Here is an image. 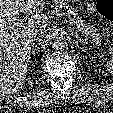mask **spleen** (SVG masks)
I'll return each mask as SVG.
<instances>
[{"mask_svg": "<svg viewBox=\"0 0 113 113\" xmlns=\"http://www.w3.org/2000/svg\"><path fill=\"white\" fill-rule=\"evenodd\" d=\"M107 70L113 75V54L110 60L107 62Z\"/></svg>", "mask_w": 113, "mask_h": 113, "instance_id": "3e777b00", "label": "spleen"}]
</instances>
